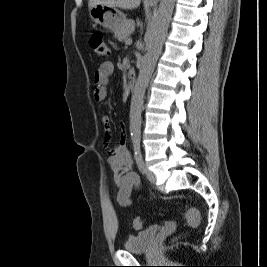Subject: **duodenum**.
Wrapping results in <instances>:
<instances>
[{
	"instance_id": "1",
	"label": "duodenum",
	"mask_w": 267,
	"mask_h": 267,
	"mask_svg": "<svg viewBox=\"0 0 267 267\" xmlns=\"http://www.w3.org/2000/svg\"><path fill=\"white\" fill-rule=\"evenodd\" d=\"M127 79L129 87L133 89L136 82V71L133 68L129 69Z\"/></svg>"
}]
</instances>
